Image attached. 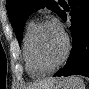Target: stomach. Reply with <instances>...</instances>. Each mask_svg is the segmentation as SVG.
<instances>
[{"instance_id": "1", "label": "stomach", "mask_w": 89, "mask_h": 89, "mask_svg": "<svg viewBox=\"0 0 89 89\" xmlns=\"http://www.w3.org/2000/svg\"><path fill=\"white\" fill-rule=\"evenodd\" d=\"M49 89H74V87L66 79H59L53 87Z\"/></svg>"}]
</instances>
